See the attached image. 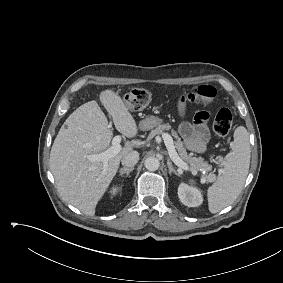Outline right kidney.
<instances>
[{
	"label": "right kidney",
	"instance_id": "obj_1",
	"mask_svg": "<svg viewBox=\"0 0 283 283\" xmlns=\"http://www.w3.org/2000/svg\"><path fill=\"white\" fill-rule=\"evenodd\" d=\"M116 192H117V188L116 187L112 188L111 193L115 194Z\"/></svg>",
	"mask_w": 283,
	"mask_h": 283
}]
</instances>
